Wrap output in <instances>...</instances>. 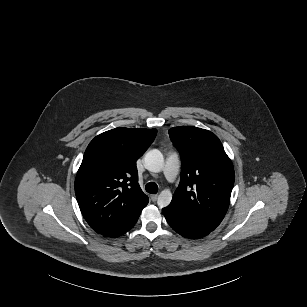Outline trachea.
Returning <instances> with one entry per match:
<instances>
[{
  "label": "trachea",
  "mask_w": 307,
  "mask_h": 307,
  "mask_svg": "<svg viewBox=\"0 0 307 307\" xmlns=\"http://www.w3.org/2000/svg\"><path fill=\"white\" fill-rule=\"evenodd\" d=\"M145 189L151 194H156L158 192V186L155 182L147 183Z\"/></svg>",
  "instance_id": "1"
}]
</instances>
